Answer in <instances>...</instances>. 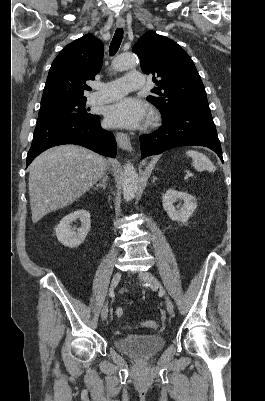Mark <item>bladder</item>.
Listing matches in <instances>:
<instances>
[{
    "label": "bladder",
    "mask_w": 265,
    "mask_h": 401,
    "mask_svg": "<svg viewBox=\"0 0 265 401\" xmlns=\"http://www.w3.org/2000/svg\"><path fill=\"white\" fill-rule=\"evenodd\" d=\"M114 344L118 351L139 359L155 356L163 349L165 339L160 336L139 335L117 338Z\"/></svg>",
    "instance_id": "bladder-1"
}]
</instances>
